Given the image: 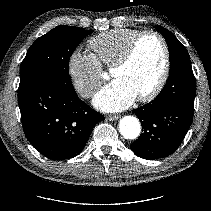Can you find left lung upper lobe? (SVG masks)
<instances>
[{
	"instance_id": "5c2ea615",
	"label": "left lung upper lobe",
	"mask_w": 211,
	"mask_h": 211,
	"mask_svg": "<svg viewBox=\"0 0 211 211\" xmlns=\"http://www.w3.org/2000/svg\"><path fill=\"white\" fill-rule=\"evenodd\" d=\"M155 28L165 37L169 48L170 70L180 64L191 63L187 49L179 42V40L167 29L160 25Z\"/></svg>"
}]
</instances>
